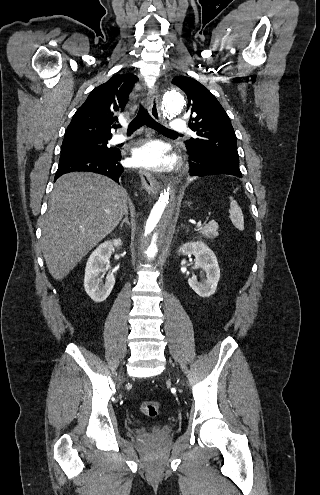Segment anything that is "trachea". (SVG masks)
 Instances as JSON below:
<instances>
[{"label":"trachea","mask_w":320,"mask_h":495,"mask_svg":"<svg viewBox=\"0 0 320 495\" xmlns=\"http://www.w3.org/2000/svg\"><path fill=\"white\" fill-rule=\"evenodd\" d=\"M146 124L147 126L161 132V133H174L177 134V132L172 131L163 125L157 123L147 112V109L140 104L139 111L137 113V116L132 120V122L128 126L127 133L132 134L133 131L137 130L140 128L142 125ZM120 127V125L117 126V128Z\"/></svg>","instance_id":"trachea-1"}]
</instances>
